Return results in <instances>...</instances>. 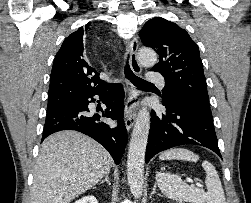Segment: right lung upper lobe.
Wrapping results in <instances>:
<instances>
[{
  "label": "right lung upper lobe",
  "mask_w": 251,
  "mask_h": 203,
  "mask_svg": "<svg viewBox=\"0 0 251 203\" xmlns=\"http://www.w3.org/2000/svg\"><path fill=\"white\" fill-rule=\"evenodd\" d=\"M90 24L70 34L55 56L50 79L47 111L74 102L90 91L108 85L85 61L83 35Z\"/></svg>",
  "instance_id": "cb5924a9"
}]
</instances>
